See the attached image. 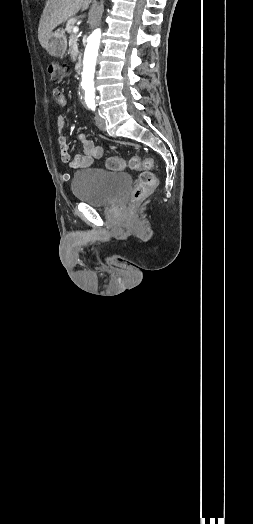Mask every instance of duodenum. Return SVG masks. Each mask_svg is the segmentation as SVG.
Listing matches in <instances>:
<instances>
[{"label":"duodenum","instance_id":"duodenum-1","mask_svg":"<svg viewBox=\"0 0 253 524\" xmlns=\"http://www.w3.org/2000/svg\"><path fill=\"white\" fill-rule=\"evenodd\" d=\"M75 71L76 73H80L82 71V62L78 60L75 64Z\"/></svg>","mask_w":253,"mask_h":524}]
</instances>
